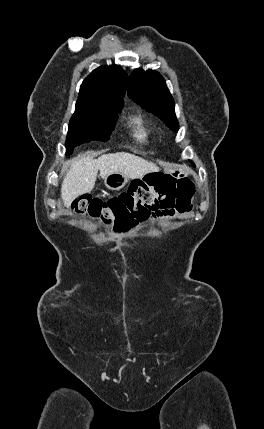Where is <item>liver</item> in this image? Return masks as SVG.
I'll use <instances>...</instances> for the list:
<instances>
[{"instance_id":"1","label":"liver","mask_w":264,"mask_h":429,"mask_svg":"<svg viewBox=\"0 0 264 429\" xmlns=\"http://www.w3.org/2000/svg\"><path fill=\"white\" fill-rule=\"evenodd\" d=\"M158 170L155 164L125 152L105 154L98 159L81 156L71 162L62 182L61 197L64 205L69 208L74 199L93 190L98 171L103 179L113 172H120L128 179H135Z\"/></svg>"}]
</instances>
